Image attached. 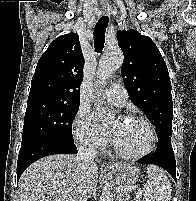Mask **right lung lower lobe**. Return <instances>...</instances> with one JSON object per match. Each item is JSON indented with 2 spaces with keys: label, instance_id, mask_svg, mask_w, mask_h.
<instances>
[{
  "label": "right lung lower lobe",
  "instance_id": "obj_1",
  "mask_svg": "<svg viewBox=\"0 0 196 201\" xmlns=\"http://www.w3.org/2000/svg\"><path fill=\"white\" fill-rule=\"evenodd\" d=\"M74 141H65L58 138L38 136L22 141L18 162L17 181L24 170L36 160L52 154H76Z\"/></svg>",
  "mask_w": 196,
  "mask_h": 201
}]
</instances>
